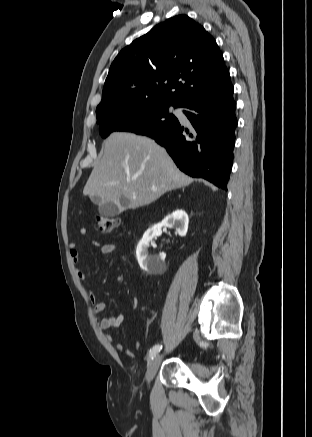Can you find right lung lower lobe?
I'll use <instances>...</instances> for the list:
<instances>
[{
	"label": "right lung lower lobe",
	"instance_id": "98d812e1",
	"mask_svg": "<svg viewBox=\"0 0 312 437\" xmlns=\"http://www.w3.org/2000/svg\"><path fill=\"white\" fill-rule=\"evenodd\" d=\"M180 107L185 108L190 128L177 121L148 136L166 148L180 170L227 190L237 126L230 75L217 87Z\"/></svg>",
	"mask_w": 312,
	"mask_h": 437
}]
</instances>
